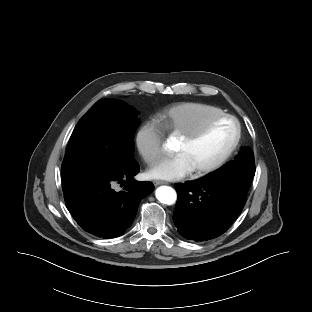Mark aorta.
I'll return each instance as SVG.
<instances>
[{"mask_svg": "<svg viewBox=\"0 0 312 312\" xmlns=\"http://www.w3.org/2000/svg\"><path fill=\"white\" fill-rule=\"evenodd\" d=\"M156 198L163 204L172 205L177 199V194L172 187L161 186L156 190Z\"/></svg>", "mask_w": 312, "mask_h": 312, "instance_id": "obj_1", "label": "aorta"}]
</instances>
